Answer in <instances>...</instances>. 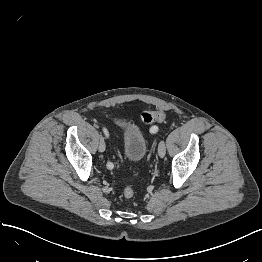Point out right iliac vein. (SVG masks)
Segmentation results:
<instances>
[{"instance_id": "63e3f726", "label": "right iliac vein", "mask_w": 262, "mask_h": 262, "mask_svg": "<svg viewBox=\"0 0 262 262\" xmlns=\"http://www.w3.org/2000/svg\"><path fill=\"white\" fill-rule=\"evenodd\" d=\"M105 149H106L105 141H104V138L101 137L99 141V145H98V150L99 152H104Z\"/></svg>"}]
</instances>
